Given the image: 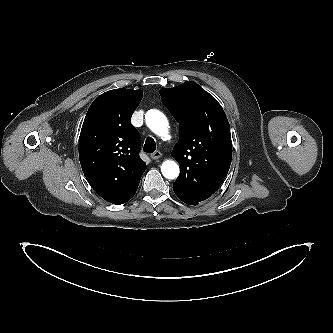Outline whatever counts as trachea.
I'll return each mask as SVG.
<instances>
[{
    "label": "trachea",
    "mask_w": 333,
    "mask_h": 333,
    "mask_svg": "<svg viewBox=\"0 0 333 333\" xmlns=\"http://www.w3.org/2000/svg\"><path fill=\"white\" fill-rule=\"evenodd\" d=\"M156 149V144L153 138L149 137L146 139L143 151L147 153H153Z\"/></svg>",
    "instance_id": "3493384b"
}]
</instances>
